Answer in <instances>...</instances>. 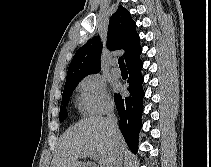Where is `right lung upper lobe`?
I'll list each match as a JSON object with an SVG mask.
<instances>
[{"label": "right lung upper lobe", "mask_w": 211, "mask_h": 167, "mask_svg": "<svg viewBox=\"0 0 211 167\" xmlns=\"http://www.w3.org/2000/svg\"><path fill=\"white\" fill-rule=\"evenodd\" d=\"M107 47L113 51L125 50L126 65L138 59L142 52L140 37L136 32V23L123 6H119L109 20ZM101 52L102 44L98 36L93 37L79 48L69 65L66 82L98 73L101 70Z\"/></svg>", "instance_id": "right-lung-upper-lobe-1"}]
</instances>
